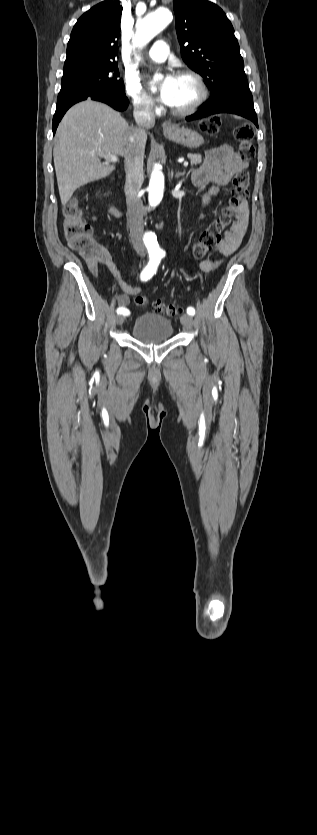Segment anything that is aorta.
I'll return each mask as SVG.
<instances>
[{
    "mask_svg": "<svg viewBox=\"0 0 317 835\" xmlns=\"http://www.w3.org/2000/svg\"><path fill=\"white\" fill-rule=\"evenodd\" d=\"M172 19V11L165 7H160L147 13L139 20L136 27V32L132 40L135 47L138 49L145 47ZM136 59L140 60V57L137 56ZM161 77V75H155L154 79L158 80ZM163 192L164 176L159 167L155 165L149 181V203L151 206H156L161 202ZM147 235L149 242L153 246H156L157 241L153 232H148Z\"/></svg>",
    "mask_w": 317,
    "mask_h": 835,
    "instance_id": "762f6f07",
    "label": "aorta"
}]
</instances>
